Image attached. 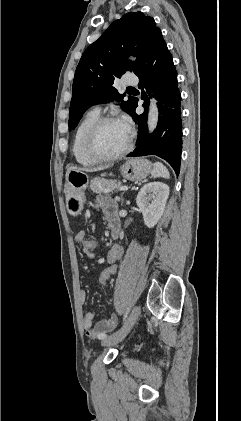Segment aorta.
I'll return each instance as SVG.
<instances>
[{"mask_svg":"<svg viewBox=\"0 0 241 421\" xmlns=\"http://www.w3.org/2000/svg\"><path fill=\"white\" fill-rule=\"evenodd\" d=\"M157 122H158V108L156 105V100L152 99L150 108H149V113H148V129L150 132H152L156 128Z\"/></svg>","mask_w":241,"mask_h":421,"instance_id":"aorta-1","label":"aorta"}]
</instances>
